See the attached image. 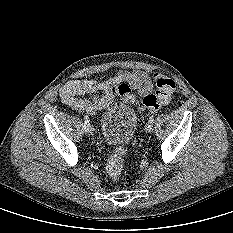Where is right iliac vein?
<instances>
[{
	"instance_id": "1",
	"label": "right iliac vein",
	"mask_w": 233,
	"mask_h": 233,
	"mask_svg": "<svg viewBox=\"0 0 233 233\" xmlns=\"http://www.w3.org/2000/svg\"><path fill=\"white\" fill-rule=\"evenodd\" d=\"M89 133H90L91 135H93V133H94V128H93V126H91V125H90V127H89Z\"/></svg>"
}]
</instances>
